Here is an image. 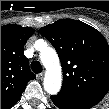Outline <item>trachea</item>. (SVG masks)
<instances>
[{
  "mask_svg": "<svg viewBox=\"0 0 109 109\" xmlns=\"http://www.w3.org/2000/svg\"><path fill=\"white\" fill-rule=\"evenodd\" d=\"M31 69L34 73H40L42 71V65L39 61H33L31 63Z\"/></svg>",
  "mask_w": 109,
  "mask_h": 109,
  "instance_id": "3493384b",
  "label": "trachea"
}]
</instances>
